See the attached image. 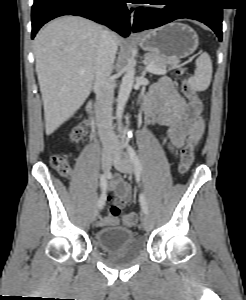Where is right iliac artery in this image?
Listing matches in <instances>:
<instances>
[{
    "label": "right iliac artery",
    "mask_w": 246,
    "mask_h": 300,
    "mask_svg": "<svg viewBox=\"0 0 246 300\" xmlns=\"http://www.w3.org/2000/svg\"><path fill=\"white\" fill-rule=\"evenodd\" d=\"M100 188H101L102 194L97 201V206H98V208L101 209L104 204V197H105V192H106V188H107V177L105 174H102L100 176Z\"/></svg>",
    "instance_id": "1"
}]
</instances>
